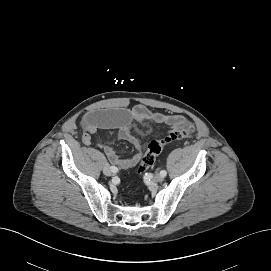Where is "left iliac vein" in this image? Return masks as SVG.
Masks as SVG:
<instances>
[{
	"label": "left iliac vein",
	"mask_w": 271,
	"mask_h": 271,
	"mask_svg": "<svg viewBox=\"0 0 271 271\" xmlns=\"http://www.w3.org/2000/svg\"><path fill=\"white\" fill-rule=\"evenodd\" d=\"M163 179H164V177L161 174H156L154 177V181L158 182V183L162 182Z\"/></svg>",
	"instance_id": "obj_1"
}]
</instances>
